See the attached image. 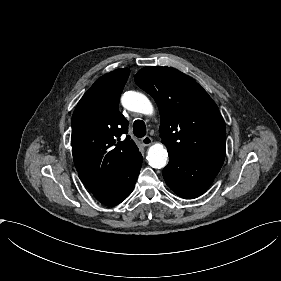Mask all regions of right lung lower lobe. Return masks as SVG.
<instances>
[{
  "mask_svg": "<svg viewBox=\"0 0 281 281\" xmlns=\"http://www.w3.org/2000/svg\"><path fill=\"white\" fill-rule=\"evenodd\" d=\"M142 166V155L137 152L121 173L102 188L92 192L105 205H117L132 192Z\"/></svg>",
  "mask_w": 281,
  "mask_h": 281,
  "instance_id": "1",
  "label": "right lung lower lobe"
}]
</instances>
